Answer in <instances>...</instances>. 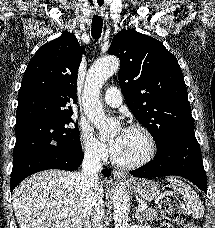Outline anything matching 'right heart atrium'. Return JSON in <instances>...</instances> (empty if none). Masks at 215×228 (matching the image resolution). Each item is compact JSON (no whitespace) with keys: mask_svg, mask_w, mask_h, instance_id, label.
I'll list each match as a JSON object with an SVG mask.
<instances>
[{"mask_svg":"<svg viewBox=\"0 0 215 228\" xmlns=\"http://www.w3.org/2000/svg\"><path fill=\"white\" fill-rule=\"evenodd\" d=\"M78 142L84 157L94 163L104 161L108 156L106 144L96 138L92 129L87 125L78 128Z\"/></svg>","mask_w":215,"mask_h":228,"instance_id":"d8ad5b80","label":"right heart atrium"}]
</instances>
